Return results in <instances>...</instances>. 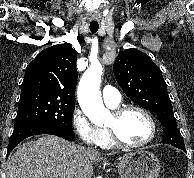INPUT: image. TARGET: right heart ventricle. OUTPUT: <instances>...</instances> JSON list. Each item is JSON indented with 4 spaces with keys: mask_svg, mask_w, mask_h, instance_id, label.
<instances>
[{
    "mask_svg": "<svg viewBox=\"0 0 194 178\" xmlns=\"http://www.w3.org/2000/svg\"><path fill=\"white\" fill-rule=\"evenodd\" d=\"M110 107L113 109L117 108V106H110ZM98 145L104 149H110L115 146L106 128L101 129V139Z\"/></svg>",
    "mask_w": 194,
    "mask_h": 178,
    "instance_id": "1",
    "label": "right heart ventricle"
}]
</instances>
